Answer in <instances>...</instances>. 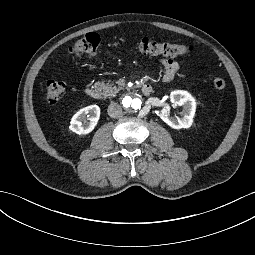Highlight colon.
<instances>
[{"label": "colon", "instance_id": "colon-1", "mask_svg": "<svg viewBox=\"0 0 255 255\" xmlns=\"http://www.w3.org/2000/svg\"><path fill=\"white\" fill-rule=\"evenodd\" d=\"M100 38L96 33H88L79 39L72 47L69 48V53L75 57L81 55H95L98 51ZM137 49L147 55H163V56H178L190 53L192 48L186 45L173 44L168 42H158L148 38H143L137 43ZM225 81L221 78H216L213 81V86L217 90L225 88ZM66 84L63 81L49 80L46 83V98L50 104H56L60 101L66 92Z\"/></svg>", "mask_w": 255, "mask_h": 255}]
</instances>
